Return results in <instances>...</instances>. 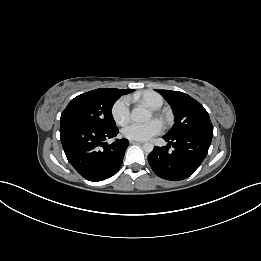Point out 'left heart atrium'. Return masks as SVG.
Returning <instances> with one entry per match:
<instances>
[{"label": "left heart atrium", "instance_id": "39dd6f15", "mask_svg": "<svg viewBox=\"0 0 261 261\" xmlns=\"http://www.w3.org/2000/svg\"><path fill=\"white\" fill-rule=\"evenodd\" d=\"M162 129L161 121L154 119L146 123L131 122L123 128L122 134L130 140L145 141L159 134Z\"/></svg>", "mask_w": 261, "mask_h": 261}]
</instances>
